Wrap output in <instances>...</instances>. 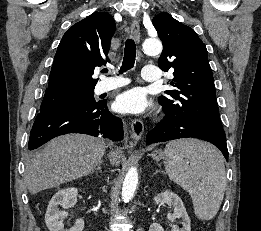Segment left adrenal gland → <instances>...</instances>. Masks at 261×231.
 Returning a JSON list of instances; mask_svg holds the SVG:
<instances>
[{
  "mask_svg": "<svg viewBox=\"0 0 261 231\" xmlns=\"http://www.w3.org/2000/svg\"><path fill=\"white\" fill-rule=\"evenodd\" d=\"M159 172H161V171H160V170H156L155 173H154V175L157 174V173H159Z\"/></svg>",
  "mask_w": 261,
  "mask_h": 231,
  "instance_id": "obj_1",
  "label": "left adrenal gland"
}]
</instances>
